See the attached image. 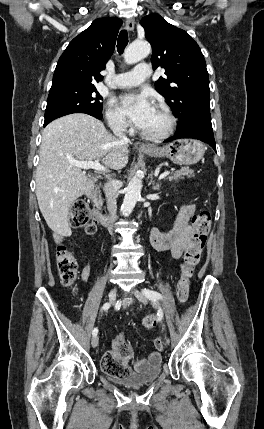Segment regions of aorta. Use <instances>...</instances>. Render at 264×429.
Wrapping results in <instances>:
<instances>
[{
	"label": "aorta",
	"mask_w": 264,
	"mask_h": 429,
	"mask_svg": "<svg viewBox=\"0 0 264 429\" xmlns=\"http://www.w3.org/2000/svg\"><path fill=\"white\" fill-rule=\"evenodd\" d=\"M151 52L150 45L145 41L132 42L124 53V60L127 64H134L146 58ZM142 189V179L140 173H136L131 178L126 189L121 212L127 217L133 211Z\"/></svg>",
	"instance_id": "obj_1"
}]
</instances>
